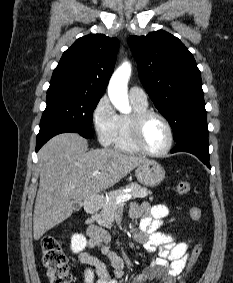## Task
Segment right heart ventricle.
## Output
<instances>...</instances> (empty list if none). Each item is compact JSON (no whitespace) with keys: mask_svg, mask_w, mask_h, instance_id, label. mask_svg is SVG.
<instances>
[{"mask_svg":"<svg viewBox=\"0 0 233 283\" xmlns=\"http://www.w3.org/2000/svg\"><path fill=\"white\" fill-rule=\"evenodd\" d=\"M132 105L133 113L131 115H118L113 146L118 151L137 154L140 151L133 144L130 122L135 113L148 110V106L147 104H138L134 102H132Z\"/></svg>","mask_w":233,"mask_h":283,"instance_id":"e07e8e85","label":"right heart ventricle"}]
</instances>
